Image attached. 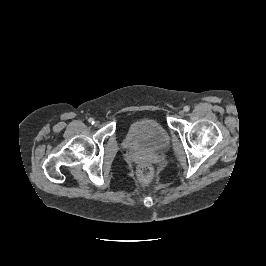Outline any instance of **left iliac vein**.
Segmentation results:
<instances>
[{"instance_id":"4c4485c4","label":"left iliac vein","mask_w":266,"mask_h":266,"mask_svg":"<svg viewBox=\"0 0 266 266\" xmlns=\"http://www.w3.org/2000/svg\"><path fill=\"white\" fill-rule=\"evenodd\" d=\"M178 114H179L180 117H183V116H184V111H183V110H180V111L178 112Z\"/></svg>"}]
</instances>
